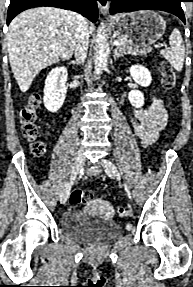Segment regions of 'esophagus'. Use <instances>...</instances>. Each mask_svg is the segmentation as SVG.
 Instances as JSON below:
<instances>
[{
  "mask_svg": "<svg viewBox=\"0 0 193 287\" xmlns=\"http://www.w3.org/2000/svg\"><path fill=\"white\" fill-rule=\"evenodd\" d=\"M98 7L102 14H107L109 1L108 0H98Z\"/></svg>",
  "mask_w": 193,
  "mask_h": 287,
  "instance_id": "esophagus-1",
  "label": "esophagus"
}]
</instances>
